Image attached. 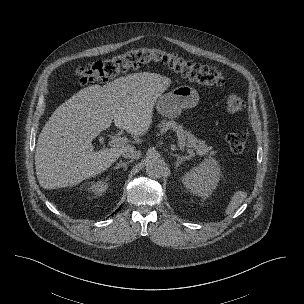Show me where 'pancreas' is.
<instances>
[{"label":"pancreas","instance_id":"cf45deb5","mask_svg":"<svg viewBox=\"0 0 304 304\" xmlns=\"http://www.w3.org/2000/svg\"><path fill=\"white\" fill-rule=\"evenodd\" d=\"M158 127L161 131H167L169 129L175 131L182 145L192 148L199 156L211 157L215 155V151L212 150V147L206 145L204 140H201L189 131L184 130L183 126L174 120H162Z\"/></svg>","mask_w":304,"mask_h":304}]
</instances>
